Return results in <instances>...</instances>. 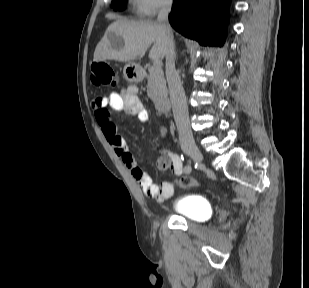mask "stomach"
<instances>
[{
	"instance_id": "stomach-1",
	"label": "stomach",
	"mask_w": 309,
	"mask_h": 288,
	"mask_svg": "<svg viewBox=\"0 0 309 288\" xmlns=\"http://www.w3.org/2000/svg\"><path fill=\"white\" fill-rule=\"evenodd\" d=\"M125 79L131 83H138L142 79L141 68L134 62H128L123 69Z\"/></svg>"
}]
</instances>
